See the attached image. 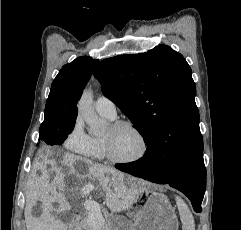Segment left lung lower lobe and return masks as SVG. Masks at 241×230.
<instances>
[{
    "label": "left lung lower lobe",
    "mask_w": 241,
    "mask_h": 230,
    "mask_svg": "<svg viewBox=\"0 0 241 230\" xmlns=\"http://www.w3.org/2000/svg\"><path fill=\"white\" fill-rule=\"evenodd\" d=\"M170 156L160 142H155L147 147L142 159L128 164H117L115 167L151 182L169 184L191 200L195 212H201L206 188L203 152L187 157L178 166L172 165Z\"/></svg>",
    "instance_id": "obj_1"
}]
</instances>
